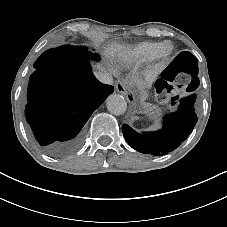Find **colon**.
<instances>
[{
  "label": "colon",
  "mask_w": 227,
  "mask_h": 227,
  "mask_svg": "<svg viewBox=\"0 0 227 227\" xmlns=\"http://www.w3.org/2000/svg\"><path fill=\"white\" fill-rule=\"evenodd\" d=\"M196 71V58L188 52L179 54L163 72L157 86L158 92L167 90L172 84L186 90L191 89L194 85Z\"/></svg>",
  "instance_id": "5ec220e1"
}]
</instances>
